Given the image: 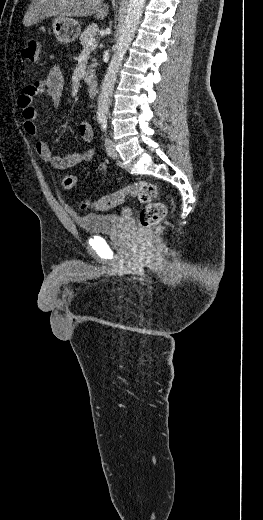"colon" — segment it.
<instances>
[{
	"mask_svg": "<svg viewBox=\"0 0 263 520\" xmlns=\"http://www.w3.org/2000/svg\"><path fill=\"white\" fill-rule=\"evenodd\" d=\"M41 42L37 39L30 40L22 50V56L30 62L39 60ZM62 188L72 191L77 186V178L74 174H66L61 182ZM136 198L143 208L140 212V226L147 229L156 225L166 216V206L158 199V188L154 183L140 181L127 186L110 195L102 196L95 200H85L80 203L82 210L94 209L105 211L123 203L127 198Z\"/></svg>",
	"mask_w": 263,
	"mask_h": 520,
	"instance_id": "5ec220e1",
	"label": "colon"
}]
</instances>
